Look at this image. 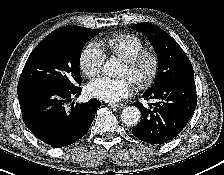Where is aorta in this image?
<instances>
[{"instance_id":"obj_1","label":"aorta","mask_w":224,"mask_h":175,"mask_svg":"<svg viewBox=\"0 0 224 175\" xmlns=\"http://www.w3.org/2000/svg\"><path fill=\"white\" fill-rule=\"evenodd\" d=\"M121 63L115 57L110 58L104 65L103 71L108 76H117L120 73ZM141 119V112L135 106H129L123 109L121 120L127 126L137 125Z\"/></svg>"}]
</instances>
